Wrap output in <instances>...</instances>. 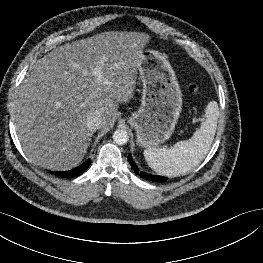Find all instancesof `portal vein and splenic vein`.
<instances>
[{
    "label": "portal vein and splenic vein",
    "mask_w": 263,
    "mask_h": 263,
    "mask_svg": "<svg viewBox=\"0 0 263 263\" xmlns=\"http://www.w3.org/2000/svg\"><path fill=\"white\" fill-rule=\"evenodd\" d=\"M93 74L95 75L97 82L100 83L102 81V74L100 70L98 68L94 69Z\"/></svg>",
    "instance_id": "obj_1"
}]
</instances>
